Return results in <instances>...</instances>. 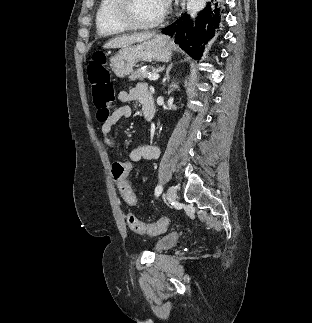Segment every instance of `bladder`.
I'll use <instances>...</instances> for the list:
<instances>
[{
	"label": "bladder",
	"mask_w": 312,
	"mask_h": 323,
	"mask_svg": "<svg viewBox=\"0 0 312 323\" xmlns=\"http://www.w3.org/2000/svg\"><path fill=\"white\" fill-rule=\"evenodd\" d=\"M176 239V235L172 234L156 239L154 242L156 252L168 250L176 243Z\"/></svg>",
	"instance_id": "1"
}]
</instances>
